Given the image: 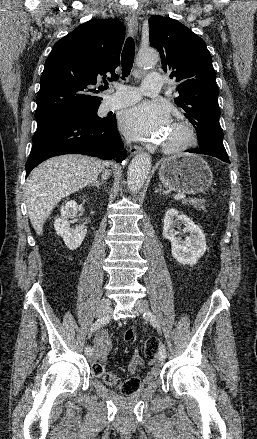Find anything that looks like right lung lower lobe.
Here are the masks:
<instances>
[{
    "mask_svg": "<svg viewBox=\"0 0 257 439\" xmlns=\"http://www.w3.org/2000/svg\"><path fill=\"white\" fill-rule=\"evenodd\" d=\"M33 147L26 163V177L44 160L63 154H84L122 162L127 154L116 128V117L95 120L68 113L37 121Z\"/></svg>",
    "mask_w": 257,
    "mask_h": 439,
    "instance_id": "obj_1",
    "label": "right lung lower lobe"
}]
</instances>
